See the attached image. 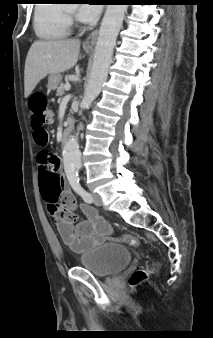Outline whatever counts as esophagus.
<instances>
[{
	"label": "esophagus",
	"instance_id": "34e87169",
	"mask_svg": "<svg viewBox=\"0 0 213 338\" xmlns=\"http://www.w3.org/2000/svg\"><path fill=\"white\" fill-rule=\"evenodd\" d=\"M97 35H98V30L96 29L84 41L83 43L84 47H93L96 43Z\"/></svg>",
	"mask_w": 213,
	"mask_h": 338
}]
</instances>
